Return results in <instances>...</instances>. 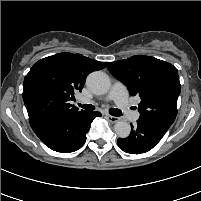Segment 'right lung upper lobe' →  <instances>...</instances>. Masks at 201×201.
<instances>
[{
	"label": "right lung upper lobe",
	"instance_id": "1",
	"mask_svg": "<svg viewBox=\"0 0 201 201\" xmlns=\"http://www.w3.org/2000/svg\"><path fill=\"white\" fill-rule=\"evenodd\" d=\"M102 62L81 54L59 53L36 62L25 76L23 100L29 120L72 117L82 111L70 104L81 91L87 75L104 68Z\"/></svg>",
	"mask_w": 201,
	"mask_h": 201
}]
</instances>
